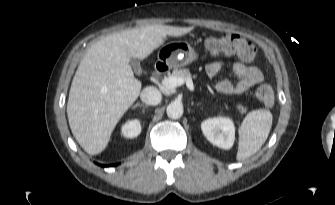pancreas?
<instances>
[{
	"instance_id": "cf45deb5",
	"label": "pancreas",
	"mask_w": 335,
	"mask_h": 205,
	"mask_svg": "<svg viewBox=\"0 0 335 205\" xmlns=\"http://www.w3.org/2000/svg\"><path fill=\"white\" fill-rule=\"evenodd\" d=\"M170 77H182L184 79L190 78L192 79V75L190 73V71L188 69H174L172 74L170 75ZM196 77V76H194ZM237 109L239 110V112L241 114L246 112V108H244L243 106L239 105L237 106Z\"/></svg>"
}]
</instances>
